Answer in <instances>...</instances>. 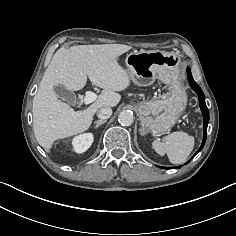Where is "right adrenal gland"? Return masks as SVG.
I'll return each instance as SVG.
<instances>
[{
	"label": "right adrenal gland",
	"mask_w": 236,
	"mask_h": 236,
	"mask_svg": "<svg viewBox=\"0 0 236 236\" xmlns=\"http://www.w3.org/2000/svg\"><path fill=\"white\" fill-rule=\"evenodd\" d=\"M107 120H98V121H95L94 124H96L95 128H98L100 125L106 123Z\"/></svg>",
	"instance_id": "right-adrenal-gland-1"
}]
</instances>
